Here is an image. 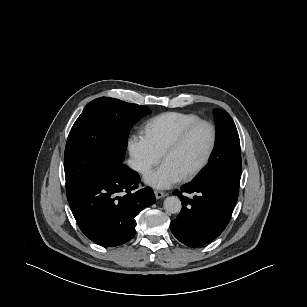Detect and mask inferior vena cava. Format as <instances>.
Listing matches in <instances>:
<instances>
[{
	"mask_svg": "<svg viewBox=\"0 0 307 307\" xmlns=\"http://www.w3.org/2000/svg\"><path fill=\"white\" fill-rule=\"evenodd\" d=\"M128 164L130 165V167L136 171H144L145 170V165L135 159H130L128 161Z\"/></svg>",
	"mask_w": 307,
	"mask_h": 307,
	"instance_id": "inferior-vena-cava-1",
	"label": "inferior vena cava"
}]
</instances>
